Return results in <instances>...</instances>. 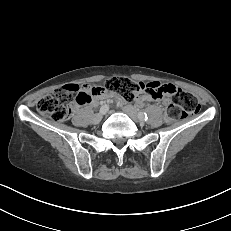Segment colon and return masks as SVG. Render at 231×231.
I'll return each instance as SVG.
<instances>
[{
    "mask_svg": "<svg viewBox=\"0 0 231 231\" xmlns=\"http://www.w3.org/2000/svg\"><path fill=\"white\" fill-rule=\"evenodd\" d=\"M161 83L153 82L145 84L122 77H111L107 79L103 87H95V90L110 91L122 95L126 100L137 98L146 88L159 90ZM95 91V92H96ZM94 94V93H92ZM173 101L166 107V120L176 122L187 114L195 113L199 110L198 100L192 94L175 88ZM90 96L84 93L78 85L67 84L51 94L42 97L37 102V112L40 116L50 118L55 121H65L71 113V104L77 102L84 104Z\"/></svg>",
    "mask_w": 231,
    "mask_h": 231,
    "instance_id": "1",
    "label": "colon"
}]
</instances>
